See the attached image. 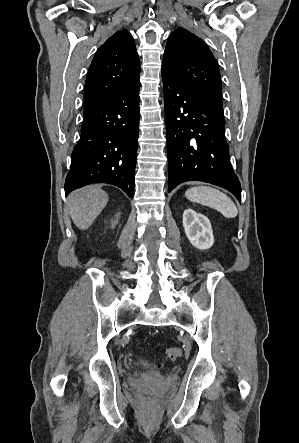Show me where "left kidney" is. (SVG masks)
Listing matches in <instances>:
<instances>
[{
    "instance_id": "left-kidney-1",
    "label": "left kidney",
    "mask_w": 299,
    "mask_h": 443,
    "mask_svg": "<svg viewBox=\"0 0 299 443\" xmlns=\"http://www.w3.org/2000/svg\"><path fill=\"white\" fill-rule=\"evenodd\" d=\"M183 227L190 243L197 249L205 250L214 244L213 231L209 219L192 209L183 213Z\"/></svg>"
}]
</instances>
